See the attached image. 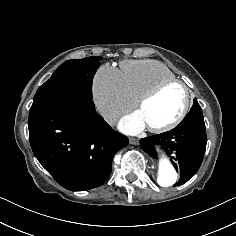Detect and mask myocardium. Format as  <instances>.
Listing matches in <instances>:
<instances>
[{"label":"myocardium","mask_w":236,"mask_h":236,"mask_svg":"<svg viewBox=\"0 0 236 236\" xmlns=\"http://www.w3.org/2000/svg\"><path fill=\"white\" fill-rule=\"evenodd\" d=\"M177 84L181 86L185 93V102L181 113L178 117L173 120L172 122L163 125V126H147L148 130L155 134H165L180 126L185 119L187 118L190 109H191V90L190 88L180 79L173 78V79H165L158 82L148 91H146L138 100H137V107L139 110L143 108L150 100L156 97L161 91H163L166 87L170 85Z\"/></svg>","instance_id":"1"}]
</instances>
